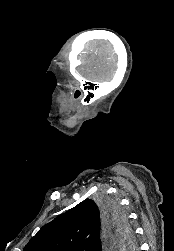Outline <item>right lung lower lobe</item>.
Listing matches in <instances>:
<instances>
[{
  "instance_id": "right-lung-lower-lobe-1",
  "label": "right lung lower lobe",
  "mask_w": 174,
  "mask_h": 251,
  "mask_svg": "<svg viewBox=\"0 0 174 251\" xmlns=\"http://www.w3.org/2000/svg\"><path fill=\"white\" fill-rule=\"evenodd\" d=\"M103 236L101 238V246L103 248L105 247H109L111 244V240H112V234L114 232V227L108 223V221L106 219H104L103 221ZM105 251V250H102Z\"/></svg>"
}]
</instances>
